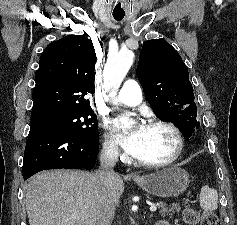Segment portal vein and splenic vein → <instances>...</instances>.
I'll return each instance as SVG.
<instances>
[{"label":"portal vein and splenic vein","instance_id":"1","mask_svg":"<svg viewBox=\"0 0 237 225\" xmlns=\"http://www.w3.org/2000/svg\"><path fill=\"white\" fill-rule=\"evenodd\" d=\"M157 210V205L156 204H153L150 206V211L151 212H155Z\"/></svg>","mask_w":237,"mask_h":225}]
</instances>
